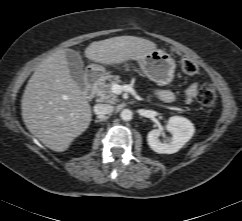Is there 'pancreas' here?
I'll return each instance as SVG.
<instances>
[{"label": "pancreas", "mask_w": 242, "mask_h": 221, "mask_svg": "<svg viewBox=\"0 0 242 221\" xmlns=\"http://www.w3.org/2000/svg\"><path fill=\"white\" fill-rule=\"evenodd\" d=\"M118 83H121L119 76L107 75L101 78L94 89L97 101L110 104L119 102L118 96L113 92V86Z\"/></svg>", "instance_id": "cf45deb5"}]
</instances>
